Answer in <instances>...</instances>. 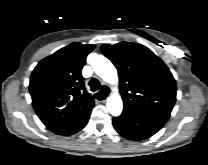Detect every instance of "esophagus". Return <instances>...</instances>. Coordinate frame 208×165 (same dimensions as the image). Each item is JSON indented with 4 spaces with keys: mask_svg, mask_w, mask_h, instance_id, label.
I'll return each instance as SVG.
<instances>
[{
    "mask_svg": "<svg viewBox=\"0 0 208 165\" xmlns=\"http://www.w3.org/2000/svg\"><path fill=\"white\" fill-rule=\"evenodd\" d=\"M105 88H107L108 89V91H109V88L107 87V86H104ZM109 93V92H108ZM107 99H108V97H106L104 100H101V101H99V102H102V103H104L105 101H107Z\"/></svg>",
    "mask_w": 208,
    "mask_h": 165,
    "instance_id": "obj_1",
    "label": "esophagus"
}]
</instances>
